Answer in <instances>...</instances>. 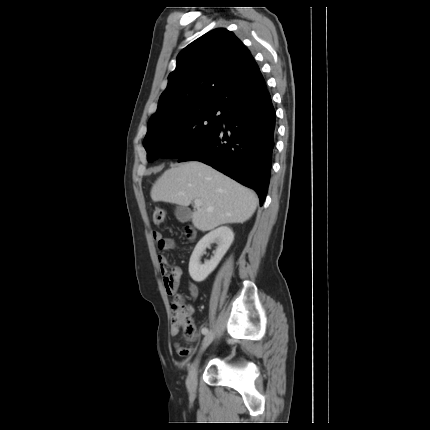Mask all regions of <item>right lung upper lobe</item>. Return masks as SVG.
Listing matches in <instances>:
<instances>
[{
    "label": "right lung upper lobe",
    "mask_w": 430,
    "mask_h": 430,
    "mask_svg": "<svg viewBox=\"0 0 430 430\" xmlns=\"http://www.w3.org/2000/svg\"><path fill=\"white\" fill-rule=\"evenodd\" d=\"M262 79L250 51L233 32L212 30L179 53L148 127L203 105L222 107Z\"/></svg>",
    "instance_id": "right-lung-upper-lobe-1"
}]
</instances>
